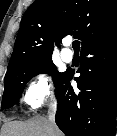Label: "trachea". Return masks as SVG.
I'll return each instance as SVG.
<instances>
[{
    "instance_id": "obj_1",
    "label": "trachea",
    "mask_w": 117,
    "mask_h": 136,
    "mask_svg": "<svg viewBox=\"0 0 117 136\" xmlns=\"http://www.w3.org/2000/svg\"><path fill=\"white\" fill-rule=\"evenodd\" d=\"M72 47H73L74 51H79L80 50V41H78V40L73 41Z\"/></svg>"
}]
</instances>
